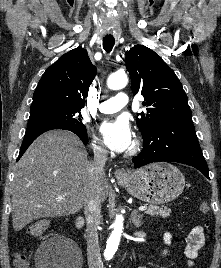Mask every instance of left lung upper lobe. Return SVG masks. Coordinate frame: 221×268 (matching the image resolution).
Listing matches in <instances>:
<instances>
[{
    "instance_id": "obj_1",
    "label": "left lung upper lobe",
    "mask_w": 221,
    "mask_h": 268,
    "mask_svg": "<svg viewBox=\"0 0 221 268\" xmlns=\"http://www.w3.org/2000/svg\"><path fill=\"white\" fill-rule=\"evenodd\" d=\"M126 68L134 95L144 97L147 112L136 120L143 139L163 122H192V112L181 82L154 51L136 45L126 53Z\"/></svg>"
}]
</instances>
